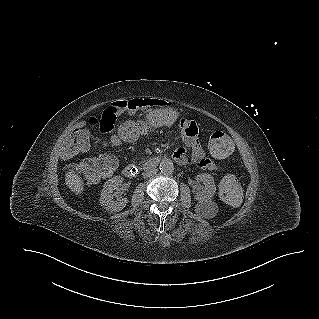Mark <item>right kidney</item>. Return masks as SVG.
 Returning a JSON list of instances; mask_svg holds the SVG:
<instances>
[{
	"mask_svg": "<svg viewBox=\"0 0 319 319\" xmlns=\"http://www.w3.org/2000/svg\"><path fill=\"white\" fill-rule=\"evenodd\" d=\"M122 182V177L115 176L104 183L101 191L100 204L106 211L119 212L126 207L128 199H115L113 194L114 190L117 189Z\"/></svg>",
	"mask_w": 319,
	"mask_h": 319,
	"instance_id": "1",
	"label": "right kidney"
}]
</instances>
